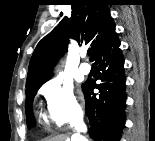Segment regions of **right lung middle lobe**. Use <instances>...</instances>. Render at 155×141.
Instances as JSON below:
<instances>
[{
    "label": "right lung middle lobe",
    "instance_id": "dd1d6c3e",
    "mask_svg": "<svg viewBox=\"0 0 155 141\" xmlns=\"http://www.w3.org/2000/svg\"><path fill=\"white\" fill-rule=\"evenodd\" d=\"M48 79L41 81L39 83H36L30 87L26 88V121H27V126H34V118L32 115V102L33 98L37 92V90L40 88V86L45 83Z\"/></svg>",
    "mask_w": 155,
    "mask_h": 141
}]
</instances>
